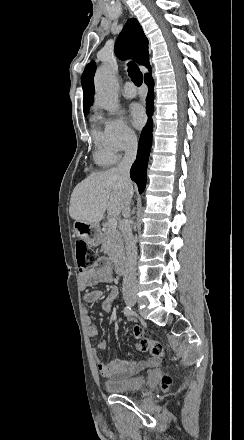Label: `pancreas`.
I'll use <instances>...</instances> for the list:
<instances>
[{"label":"pancreas","instance_id":"1","mask_svg":"<svg viewBox=\"0 0 244 440\" xmlns=\"http://www.w3.org/2000/svg\"><path fill=\"white\" fill-rule=\"evenodd\" d=\"M99 244L104 254H108L111 262H119L124 256L122 236L118 230H107L100 232Z\"/></svg>","mask_w":244,"mask_h":440}]
</instances>
